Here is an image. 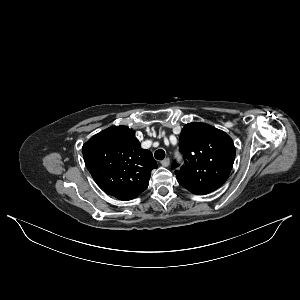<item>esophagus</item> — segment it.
<instances>
[{
  "instance_id": "34e87169",
  "label": "esophagus",
  "mask_w": 300,
  "mask_h": 300,
  "mask_svg": "<svg viewBox=\"0 0 300 300\" xmlns=\"http://www.w3.org/2000/svg\"><path fill=\"white\" fill-rule=\"evenodd\" d=\"M160 163H161L162 166L168 167L169 164H170V159L169 158H165Z\"/></svg>"
}]
</instances>
